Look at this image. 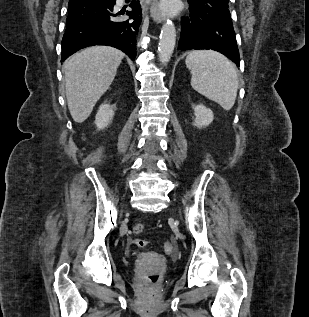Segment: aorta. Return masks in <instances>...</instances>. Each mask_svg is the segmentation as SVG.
<instances>
[{
	"mask_svg": "<svg viewBox=\"0 0 309 317\" xmlns=\"http://www.w3.org/2000/svg\"><path fill=\"white\" fill-rule=\"evenodd\" d=\"M176 42V29L172 21H167L161 29L158 45L159 60L167 65L174 51Z\"/></svg>",
	"mask_w": 309,
	"mask_h": 317,
	"instance_id": "1",
	"label": "aorta"
}]
</instances>
